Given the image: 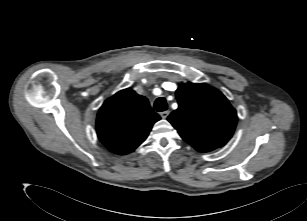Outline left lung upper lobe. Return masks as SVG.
I'll list each match as a JSON object with an SVG mask.
<instances>
[{
  "label": "left lung upper lobe",
  "instance_id": "1",
  "mask_svg": "<svg viewBox=\"0 0 307 221\" xmlns=\"http://www.w3.org/2000/svg\"><path fill=\"white\" fill-rule=\"evenodd\" d=\"M179 107L168 121L199 152L224 146L231 138L237 114L227 98L205 83H186L176 90Z\"/></svg>",
  "mask_w": 307,
  "mask_h": 221
}]
</instances>
